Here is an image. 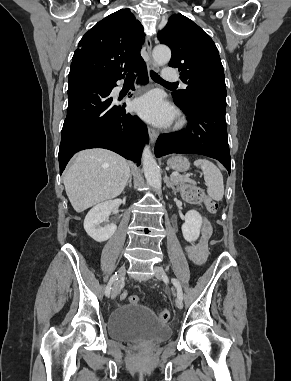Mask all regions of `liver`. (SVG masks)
I'll return each instance as SVG.
<instances>
[{"label": "liver", "mask_w": 291, "mask_h": 381, "mask_svg": "<svg viewBox=\"0 0 291 381\" xmlns=\"http://www.w3.org/2000/svg\"><path fill=\"white\" fill-rule=\"evenodd\" d=\"M130 175L122 156L105 149L79 152L64 175L67 196L78 213L119 196Z\"/></svg>", "instance_id": "liver-1"}]
</instances>
